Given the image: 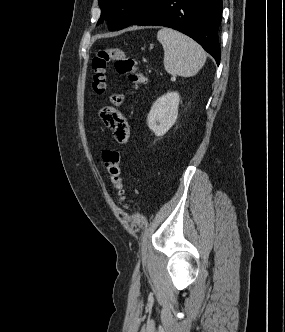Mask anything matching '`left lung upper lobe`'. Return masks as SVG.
I'll return each instance as SVG.
<instances>
[{
  "label": "left lung upper lobe",
  "instance_id": "5c2ea615",
  "mask_svg": "<svg viewBox=\"0 0 285 332\" xmlns=\"http://www.w3.org/2000/svg\"><path fill=\"white\" fill-rule=\"evenodd\" d=\"M155 0H98L101 17L109 19L111 31L128 27L141 17ZM101 20L99 21V23Z\"/></svg>",
  "mask_w": 285,
  "mask_h": 332
}]
</instances>
